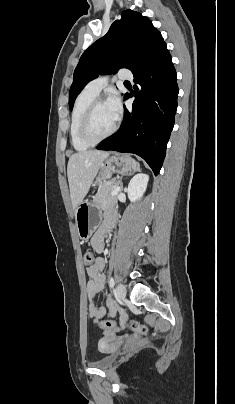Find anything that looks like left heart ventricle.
I'll use <instances>...</instances> for the list:
<instances>
[{"label": "left heart ventricle", "mask_w": 235, "mask_h": 404, "mask_svg": "<svg viewBox=\"0 0 235 404\" xmlns=\"http://www.w3.org/2000/svg\"><path fill=\"white\" fill-rule=\"evenodd\" d=\"M115 120L116 119L111 114L106 104H99L95 110L92 122L93 135L95 137H100L107 133L115 123Z\"/></svg>", "instance_id": "1"}]
</instances>
